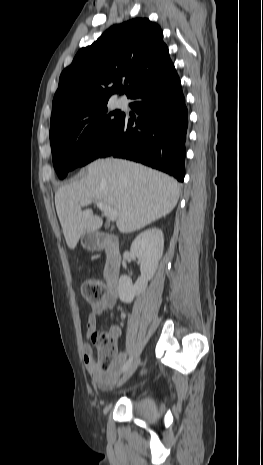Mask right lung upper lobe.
Instances as JSON below:
<instances>
[{
    "label": "right lung upper lobe",
    "instance_id": "1",
    "mask_svg": "<svg viewBox=\"0 0 263 465\" xmlns=\"http://www.w3.org/2000/svg\"><path fill=\"white\" fill-rule=\"evenodd\" d=\"M172 66L157 24L135 18L113 25L92 45L80 49L61 73L50 123L118 93L129 97Z\"/></svg>",
    "mask_w": 263,
    "mask_h": 465
}]
</instances>
